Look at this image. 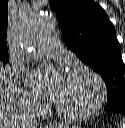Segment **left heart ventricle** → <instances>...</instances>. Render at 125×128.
Instances as JSON below:
<instances>
[{
	"mask_svg": "<svg viewBox=\"0 0 125 128\" xmlns=\"http://www.w3.org/2000/svg\"><path fill=\"white\" fill-rule=\"evenodd\" d=\"M97 95L98 89L93 79L84 74H68L62 93L56 102L63 109L76 112L94 104Z\"/></svg>",
	"mask_w": 125,
	"mask_h": 128,
	"instance_id": "1",
	"label": "left heart ventricle"
}]
</instances>
